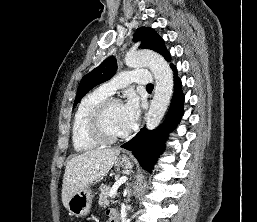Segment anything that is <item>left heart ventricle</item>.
Instances as JSON below:
<instances>
[{
  "instance_id": "left-heart-ventricle-1",
  "label": "left heart ventricle",
  "mask_w": 257,
  "mask_h": 222,
  "mask_svg": "<svg viewBox=\"0 0 257 222\" xmlns=\"http://www.w3.org/2000/svg\"><path fill=\"white\" fill-rule=\"evenodd\" d=\"M104 128L108 135L122 136V105L110 108L104 119Z\"/></svg>"
}]
</instances>
